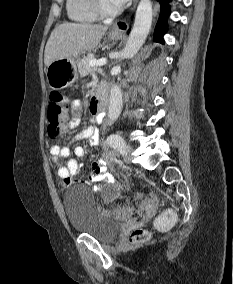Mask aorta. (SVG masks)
Masks as SVG:
<instances>
[{
  "mask_svg": "<svg viewBox=\"0 0 233 284\" xmlns=\"http://www.w3.org/2000/svg\"><path fill=\"white\" fill-rule=\"evenodd\" d=\"M152 24V3L151 0H140L133 28L124 48V57L131 59L142 47ZM123 106L122 91L118 85H113L110 91V102L108 118L116 121L120 116Z\"/></svg>",
  "mask_w": 233,
  "mask_h": 284,
  "instance_id": "obj_1",
  "label": "aorta"
}]
</instances>
